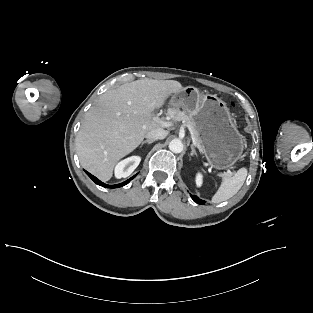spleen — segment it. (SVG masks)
<instances>
[{"label": "spleen", "instance_id": "obj_1", "mask_svg": "<svg viewBox=\"0 0 313 313\" xmlns=\"http://www.w3.org/2000/svg\"><path fill=\"white\" fill-rule=\"evenodd\" d=\"M247 173L246 168H241L233 177H224L211 202L221 203L233 197L243 186Z\"/></svg>", "mask_w": 313, "mask_h": 313}]
</instances>
